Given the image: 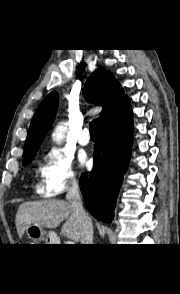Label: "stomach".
I'll list each match as a JSON object with an SVG mask.
<instances>
[{"mask_svg": "<svg viewBox=\"0 0 180 294\" xmlns=\"http://www.w3.org/2000/svg\"><path fill=\"white\" fill-rule=\"evenodd\" d=\"M25 234L28 239L35 243H40L41 241L46 240V244H52L51 242H48V239L55 236L54 233H47L43 227L35 224L28 225Z\"/></svg>", "mask_w": 180, "mask_h": 294, "instance_id": "obj_1", "label": "stomach"}]
</instances>
